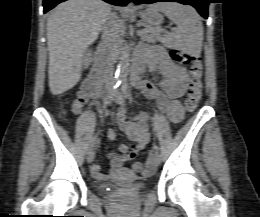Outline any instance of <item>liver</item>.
<instances>
[{
    "mask_svg": "<svg viewBox=\"0 0 260 217\" xmlns=\"http://www.w3.org/2000/svg\"><path fill=\"white\" fill-rule=\"evenodd\" d=\"M111 7L102 0H68L47 19L48 78L53 95L72 89L81 78L82 57L95 42Z\"/></svg>",
    "mask_w": 260,
    "mask_h": 217,
    "instance_id": "liver-1",
    "label": "liver"
}]
</instances>
